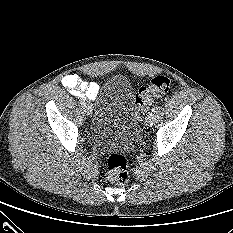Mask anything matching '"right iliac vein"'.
Returning <instances> with one entry per match:
<instances>
[{
	"label": "right iliac vein",
	"instance_id": "right-iliac-vein-1",
	"mask_svg": "<svg viewBox=\"0 0 233 233\" xmlns=\"http://www.w3.org/2000/svg\"><path fill=\"white\" fill-rule=\"evenodd\" d=\"M84 110H85V112H86L87 115H91L92 114V106L90 104L85 103Z\"/></svg>",
	"mask_w": 233,
	"mask_h": 233
}]
</instances>
